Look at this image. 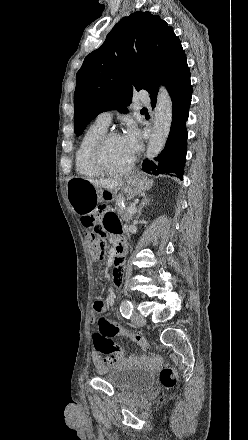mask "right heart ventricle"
I'll list each match as a JSON object with an SVG mask.
<instances>
[{"instance_id":"e07e8e85","label":"right heart ventricle","mask_w":248,"mask_h":440,"mask_svg":"<svg viewBox=\"0 0 248 440\" xmlns=\"http://www.w3.org/2000/svg\"><path fill=\"white\" fill-rule=\"evenodd\" d=\"M106 130V127L95 122L83 134L75 155V167L78 174L88 178L101 175L92 164L91 152L96 141Z\"/></svg>"}]
</instances>
